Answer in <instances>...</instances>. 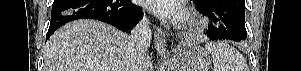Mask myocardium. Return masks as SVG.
<instances>
[{
	"mask_svg": "<svg viewBox=\"0 0 301 71\" xmlns=\"http://www.w3.org/2000/svg\"><path fill=\"white\" fill-rule=\"evenodd\" d=\"M185 25L189 29H194V28H198L200 23L195 17V15H193L192 13H188L185 18Z\"/></svg>",
	"mask_w": 301,
	"mask_h": 71,
	"instance_id": "obj_1",
	"label": "myocardium"
}]
</instances>
